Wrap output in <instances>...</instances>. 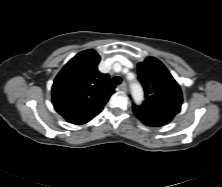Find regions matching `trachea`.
<instances>
[{
	"label": "trachea",
	"instance_id": "1",
	"mask_svg": "<svg viewBox=\"0 0 222 187\" xmlns=\"http://www.w3.org/2000/svg\"><path fill=\"white\" fill-rule=\"evenodd\" d=\"M112 83L115 85H120L122 83V79L120 77L116 76L112 79Z\"/></svg>",
	"mask_w": 222,
	"mask_h": 187
}]
</instances>
